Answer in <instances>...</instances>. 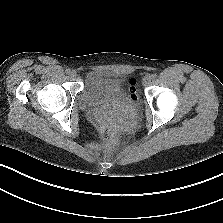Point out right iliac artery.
<instances>
[{
  "label": "right iliac artery",
  "mask_w": 223,
  "mask_h": 223,
  "mask_svg": "<svg viewBox=\"0 0 223 223\" xmlns=\"http://www.w3.org/2000/svg\"><path fill=\"white\" fill-rule=\"evenodd\" d=\"M71 70L70 69H66V73L70 74Z\"/></svg>",
  "instance_id": "82829eb1"
}]
</instances>
